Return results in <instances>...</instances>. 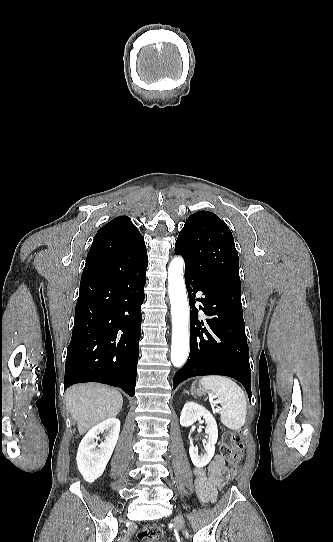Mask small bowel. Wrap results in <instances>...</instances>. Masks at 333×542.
<instances>
[{
  "label": "small bowel",
  "mask_w": 333,
  "mask_h": 542,
  "mask_svg": "<svg viewBox=\"0 0 333 542\" xmlns=\"http://www.w3.org/2000/svg\"><path fill=\"white\" fill-rule=\"evenodd\" d=\"M194 477L198 499L203 504L215 502L218 496V487L229 478L224 456L216 454L207 469L196 467Z\"/></svg>",
  "instance_id": "c3829d8e"
}]
</instances>
